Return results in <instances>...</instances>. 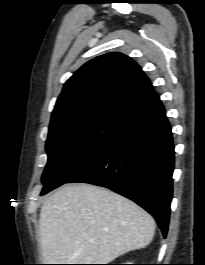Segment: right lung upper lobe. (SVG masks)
Returning a JSON list of instances; mask_svg holds the SVG:
<instances>
[{
    "instance_id": "obj_1",
    "label": "right lung upper lobe",
    "mask_w": 205,
    "mask_h": 265,
    "mask_svg": "<svg viewBox=\"0 0 205 265\" xmlns=\"http://www.w3.org/2000/svg\"><path fill=\"white\" fill-rule=\"evenodd\" d=\"M159 98L141 67L112 52L84 64L65 83L52 112L49 133L111 122L125 125Z\"/></svg>"
}]
</instances>
